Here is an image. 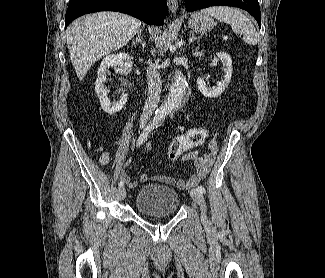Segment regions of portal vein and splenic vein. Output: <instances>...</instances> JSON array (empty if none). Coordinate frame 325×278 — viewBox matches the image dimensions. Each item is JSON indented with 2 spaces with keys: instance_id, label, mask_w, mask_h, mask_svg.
<instances>
[{
  "instance_id": "18ae733b",
  "label": "portal vein and splenic vein",
  "mask_w": 325,
  "mask_h": 278,
  "mask_svg": "<svg viewBox=\"0 0 325 278\" xmlns=\"http://www.w3.org/2000/svg\"><path fill=\"white\" fill-rule=\"evenodd\" d=\"M224 40H227V36H224V38H223Z\"/></svg>"
}]
</instances>
